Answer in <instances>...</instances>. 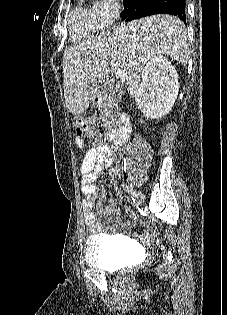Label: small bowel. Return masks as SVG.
Masks as SVG:
<instances>
[{"label":"small bowel","instance_id":"obj_1","mask_svg":"<svg viewBox=\"0 0 227 315\" xmlns=\"http://www.w3.org/2000/svg\"><path fill=\"white\" fill-rule=\"evenodd\" d=\"M77 148L83 149V140L79 137L74 138ZM114 163L112 151L107 145L91 146L84 154L80 165L81 191L84 195L82 200L83 217L85 230L89 234H97L101 228L97 221V212H102L109 217L117 213V207L113 200H108V206L102 209L101 202L106 200L104 195L97 194V175L103 168H111ZM98 203L96 204V202ZM126 215L136 223H142L141 218L132 210L126 209ZM146 237L150 234L146 233Z\"/></svg>","mask_w":227,"mask_h":315}]
</instances>
